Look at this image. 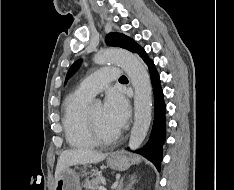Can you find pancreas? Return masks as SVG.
Wrapping results in <instances>:
<instances>
[{
  "instance_id": "obj_1",
  "label": "pancreas",
  "mask_w": 234,
  "mask_h": 190,
  "mask_svg": "<svg viewBox=\"0 0 234 190\" xmlns=\"http://www.w3.org/2000/svg\"><path fill=\"white\" fill-rule=\"evenodd\" d=\"M101 183H105V179L97 174L94 178H92L90 181H87L85 184H84V187L86 189H91V190H96L98 185L101 184Z\"/></svg>"
}]
</instances>
